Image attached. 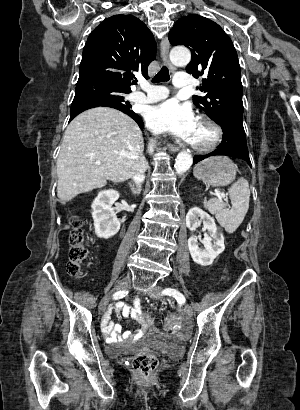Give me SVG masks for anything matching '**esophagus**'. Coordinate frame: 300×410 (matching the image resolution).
<instances>
[{"label": "esophagus", "instance_id": "esophagus-1", "mask_svg": "<svg viewBox=\"0 0 300 410\" xmlns=\"http://www.w3.org/2000/svg\"><path fill=\"white\" fill-rule=\"evenodd\" d=\"M169 49H170L169 40L167 37H163L161 40V44H160L161 57L164 60V62L168 65L169 69L171 71H174L175 67L171 64L169 60ZM168 147H169V150L172 152H177L180 149L177 145H174V144H169Z\"/></svg>", "mask_w": 300, "mask_h": 410}]
</instances>
